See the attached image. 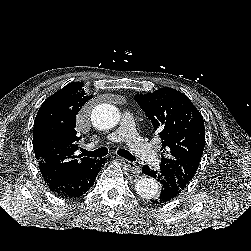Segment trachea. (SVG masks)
Returning <instances> with one entry per match:
<instances>
[{
    "mask_svg": "<svg viewBox=\"0 0 251 251\" xmlns=\"http://www.w3.org/2000/svg\"><path fill=\"white\" fill-rule=\"evenodd\" d=\"M81 152H82V155H86V156L103 157L108 153V149L106 147H101L91 152L85 149H82ZM117 153L125 159L131 160V161L136 160V158L125 149H119Z\"/></svg>",
    "mask_w": 251,
    "mask_h": 251,
    "instance_id": "1",
    "label": "trachea"
}]
</instances>
